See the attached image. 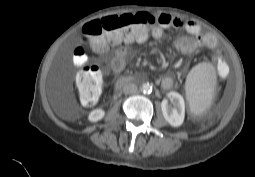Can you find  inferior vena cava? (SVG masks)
<instances>
[{"instance_id": "obj_1", "label": "inferior vena cava", "mask_w": 255, "mask_h": 177, "mask_svg": "<svg viewBox=\"0 0 255 177\" xmlns=\"http://www.w3.org/2000/svg\"><path fill=\"white\" fill-rule=\"evenodd\" d=\"M138 90L137 86L133 83H127L123 87V91L125 94H134Z\"/></svg>"}]
</instances>
